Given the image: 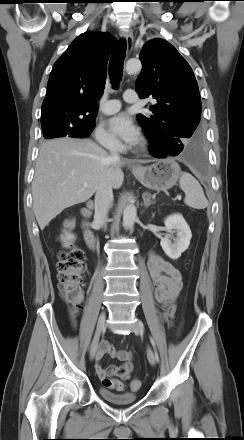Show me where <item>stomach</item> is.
Masks as SVG:
<instances>
[{
	"label": "stomach",
	"instance_id": "0dacf381",
	"mask_svg": "<svg viewBox=\"0 0 244 440\" xmlns=\"http://www.w3.org/2000/svg\"><path fill=\"white\" fill-rule=\"evenodd\" d=\"M132 173L145 187L156 191H166L176 184L181 175V169L174 159L167 158L157 160L149 166L134 168Z\"/></svg>",
	"mask_w": 244,
	"mask_h": 440
}]
</instances>
